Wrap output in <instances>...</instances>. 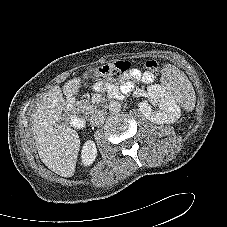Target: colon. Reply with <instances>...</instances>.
Listing matches in <instances>:
<instances>
[{
  "label": "colon",
  "mask_w": 227,
  "mask_h": 227,
  "mask_svg": "<svg viewBox=\"0 0 227 227\" xmlns=\"http://www.w3.org/2000/svg\"><path fill=\"white\" fill-rule=\"evenodd\" d=\"M130 68V64L125 61L115 62L104 65L97 69L96 75L116 79L124 74ZM144 76L149 79L159 72V64L155 60H146L143 63Z\"/></svg>",
  "instance_id": "5ec220e1"
}]
</instances>
